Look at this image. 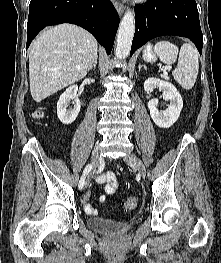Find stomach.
Segmentation results:
<instances>
[{
	"label": "stomach",
	"mask_w": 221,
	"mask_h": 263,
	"mask_svg": "<svg viewBox=\"0 0 221 263\" xmlns=\"http://www.w3.org/2000/svg\"><path fill=\"white\" fill-rule=\"evenodd\" d=\"M143 59L148 62H154L156 61V56L152 52L151 46H147L146 49L143 52Z\"/></svg>",
	"instance_id": "0dacf381"
}]
</instances>
